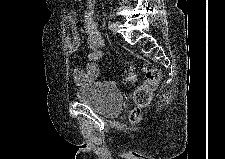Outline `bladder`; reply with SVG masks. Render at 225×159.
<instances>
[{
  "label": "bladder",
  "mask_w": 225,
  "mask_h": 159,
  "mask_svg": "<svg viewBox=\"0 0 225 159\" xmlns=\"http://www.w3.org/2000/svg\"><path fill=\"white\" fill-rule=\"evenodd\" d=\"M75 96L80 103L90 106L105 118L117 117L124 104L118 88L102 81H93L79 87Z\"/></svg>",
  "instance_id": "bladder-1"
}]
</instances>
